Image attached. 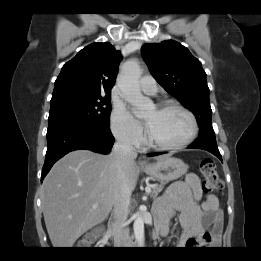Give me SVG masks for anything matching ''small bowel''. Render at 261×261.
I'll return each instance as SVG.
<instances>
[{"mask_svg": "<svg viewBox=\"0 0 261 261\" xmlns=\"http://www.w3.org/2000/svg\"><path fill=\"white\" fill-rule=\"evenodd\" d=\"M173 211L180 212L184 229L179 245H188L192 239L203 238L210 229L213 244L220 240L222 211L219 199L212 194L204 195L199 178L188 174L184 181L173 183L157 205V228L168 230L167 221Z\"/></svg>", "mask_w": 261, "mask_h": 261, "instance_id": "small-bowel-1", "label": "small bowel"}]
</instances>
